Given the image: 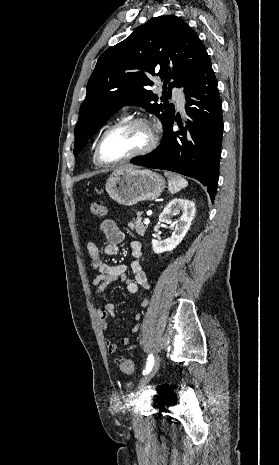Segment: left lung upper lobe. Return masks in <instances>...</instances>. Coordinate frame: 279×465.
<instances>
[{"label": "left lung upper lobe", "mask_w": 279, "mask_h": 465, "mask_svg": "<svg viewBox=\"0 0 279 465\" xmlns=\"http://www.w3.org/2000/svg\"><path fill=\"white\" fill-rule=\"evenodd\" d=\"M206 50L197 34L174 15L152 18L107 49L98 59L87 84V95L75 126L74 155L122 106H141L157 115L164 134L175 118L174 105L157 104L149 87L153 76L164 80L162 101L171 87H183L192 78ZM174 81L168 87L167 82Z\"/></svg>", "instance_id": "5c2ea615"}]
</instances>
